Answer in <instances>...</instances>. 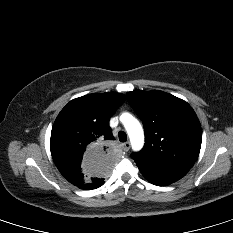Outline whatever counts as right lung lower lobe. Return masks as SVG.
Returning a JSON list of instances; mask_svg holds the SVG:
<instances>
[{
  "instance_id": "1",
  "label": "right lung lower lobe",
  "mask_w": 233,
  "mask_h": 233,
  "mask_svg": "<svg viewBox=\"0 0 233 233\" xmlns=\"http://www.w3.org/2000/svg\"><path fill=\"white\" fill-rule=\"evenodd\" d=\"M103 183L104 182H100V183L88 182V183L82 184V185L77 186V187L85 189V190H92V189H96V188L100 187L101 185H103Z\"/></svg>"
}]
</instances>
